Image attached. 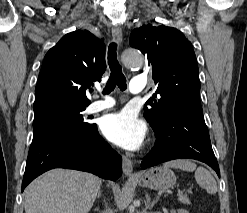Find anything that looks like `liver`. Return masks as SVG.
<instances>
[{"mask_svg": "<svg viewBox=\"0 0 247 213\" xmlns=\"http://www.w3.org/2000/svg\"><path fill=\"white\" fill-rule=\"evenodd\" d=\"M101 183L87 172L50 170L25 189V213H88Z\"/></svg>", "mask_w": 247, "mask_h": 213, "instance_id": "6515ba94", "label": "liver"}]
</instances>
